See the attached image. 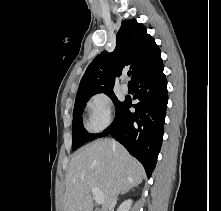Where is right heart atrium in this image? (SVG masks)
Instances as JSON below:
<instances>
[{"instance_id":"obj_1","label":"right heart atrium","mask_w":221,"mask_h":211,"mask_svg":"<svg viewBox=\"0 0 221 211\" xmlns=\"http://www.w3.org/2000/svg\"><path fill=\"white\" fill-rule=\"evenodd\" d=\"M87 127L92 132L105 129L112 120V102L105 93H96L86 103Z\"/></svg>"}]
</instances>
